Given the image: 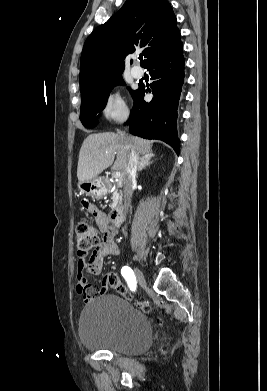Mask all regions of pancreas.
<instances>
[{
	"mask_svg": "<svg viewBox=\"0 0 267 391\" xmlns=\"http://www.w3.org/2000/svg\"><path fill=\"white\" fill-rule=\"evenodd\" d=\"M106 185L108 189L112 192V208H117L121 205L122 202V192L120 190L121 188V181H106Z\"/></svg>",
	"mask_w": 267,
	"mask_h": 391,
	"instance_id": "obj_1",
	"label": "pancreas"
}]
</instances>
